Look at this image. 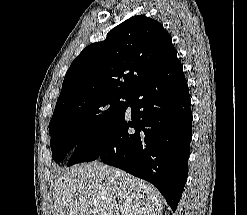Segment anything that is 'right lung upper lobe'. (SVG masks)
<instances>
[{"label":"right lung upper lobe","mask_w":247,"mask_h":215,"mask_svg":"<svg viewBox=\"0 0 247 215\" xmlns=\"http://www.w3.org/2000/svg\"><path fill=\"white\" fill-rule=\"evenodd\" d=\"M175 50L161 23L135 16L104 41L86 47L68 69L55 110L102 94L130 95L154 75Z\"/></svg>","instance_id":"cb5924a9"}]
</instances>
